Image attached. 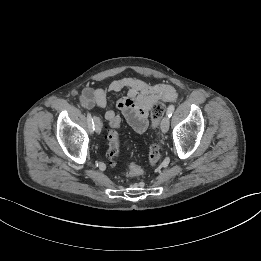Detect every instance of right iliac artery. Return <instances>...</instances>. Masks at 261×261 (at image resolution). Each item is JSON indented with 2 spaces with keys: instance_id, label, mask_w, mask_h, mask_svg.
I'll list each match as a JSON object with an SVG mask.
<instances>
[{
  "instance_id": "1",
  "label": "right iliac artery",
  "mask_w": 261,
  "mask_h": 261,
  "mask_svg": "<svg viewBox=\"0 0 261 261\" xmlns=\"http://www.w3.org/2000/svg\"><path fill=\"white\" fill-rule=\"evenodd\" d=\"M87 121H88L89 129L92 132L95 128H94V119L92 118L90 113H87Z\"/></svg>"
}]
</instances>
